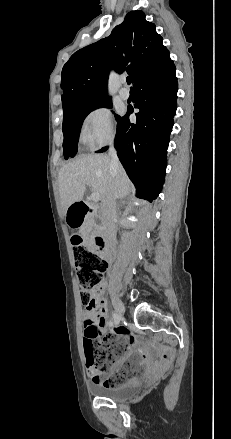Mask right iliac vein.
<instances>
[{
    "mask_svg": "<svg viewBox=\"0 0 231 439\" xmlns=\"http://www.w3.org/2000/svg\"><path fill=\"white\" fill-rule=\"evenodd\" d=\"M112 303L116 310L115 318L121 321L123 319L122 312L124 311L123 304L117 297H112Z\"/></svg>",
    "mask_w": 231,
    "mask_h": 439,
    "instance_id": "1",
    "label": "right iliac vein"
}]
</instances>
